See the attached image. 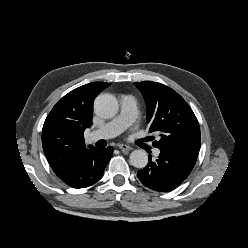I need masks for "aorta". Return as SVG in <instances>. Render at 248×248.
Returning <instances> with one entry per match:
<instances>
[{"instance_id":"obj_1","label":"aorta","mask_w":248,"mask_h":248,"mask_svg":"<svg viewBox=\"0 0 248 248\" xmlns=\"http://www.w3.org/2000/svg\"><path fill=\"white\" fill-rule=\"evenodd\" d=\"M94 109L97 115L103 118H110L118 111V101L111 94H101L94 102ZM131 165L136 168H144L148 163V155L144 150H134L129 157Z\"/></svg>"}]
</instances>
